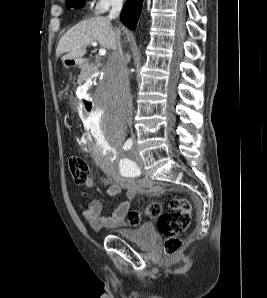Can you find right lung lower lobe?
<instances>
[{"label":"right lung lower lobe","mask_w":267,"mask_h":298,"mask_svg":"<svg viewBox=\"0 0 267 298\" xmlns=\"http://www.w3.org/2000/svg\"><path fill=\"white\" fill-rule=\"evenodd\" d=\"M143 0H127L121 12V21L129 29L135 30L142 9Z\"/></svg>","instance_id":"98d812e1"}]
</instances>
